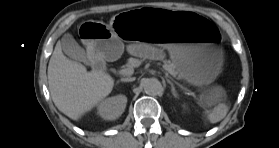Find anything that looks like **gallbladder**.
I'll return each instance as SVG.
<instances>
[{
    "label": "gallbladder",
    "mask_w": 279,
    "mask_h": 148,
    "mask_svg": "<svg viewBox=\"0 0 279 148\" xmlns=\"http://www.w3.org/2000/svg\"><path fill=\"white\" fill-rule=\"evenodd\" d=\"M61 47L68 57L76 61L88 62L85 50L77 43L71 34L67 33L63 36L61 39Z\"/></svg>",
    "instance_id": "1"
}]
</instances>
